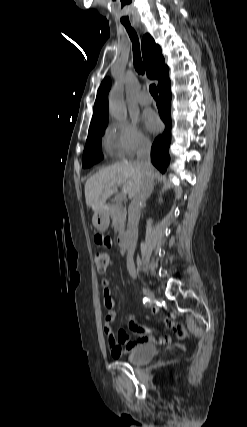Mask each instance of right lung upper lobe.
<instances>
[{"label": "right lung upper lobe", "mask_w": 247, "mask_h": 427, "mask_svg": "<svg viewBox=\"0 0 247 427\" xmlns=\"http://www.w3.org/2000/svg\"><path fill=\"white\" fill-rule=\"evenodd\" d=\"M142 55L147 75L150 79L159 80L158 88L169 80V68L164 64V57L160 47L155 44L154 39L146 34L142 38ZM110 80L104 79L98 89L94 104L93 117L90 128H95L108 122L107 116V95L110 89Z\"/></svg>", "instance_id": "obj_1"}]
</instances>
